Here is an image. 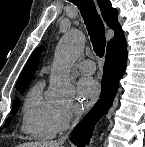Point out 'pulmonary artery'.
<instances>
[{
  "label": "pulmonary artery",
  "instance_id": "1",
  "mask_svg": "<svg viewBox=\"0 0 145 147\" xmlns=\"http://www.w3.org/2000/svg\"><path fill=\"white\" fill-rule=\"evenodd\" d=\"M77 68L83 73V74H93L96 70L95 64L91 60H84L77 64Z\"/></svg>",
  "mask_w": 145,
  "mask_h": 147
}]
</instances>
